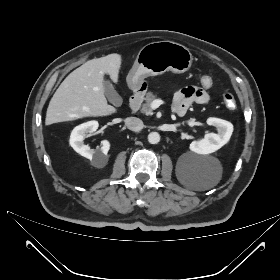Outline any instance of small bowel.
Instances as JSON below:
<instances>
[{
  "label": "small bowel",
  "mask_w": 280,
  "mask_h": 280,
  "mask_svg": "<svg viewBox=\"0 0 280 280\" xmlns=\"http://www.w3.org/2000/svg\"><path fill=\"white\" fill-rule=\"evenodd\" d=\"M210 101L208 90H203L200 87H189L177 93L174 97V111L183 115L193 104H207Z\"/></svg>",
  "instance_id": "small-bowel-1"
}]
</instances>
